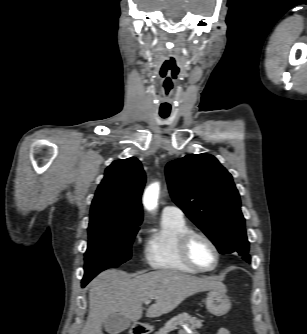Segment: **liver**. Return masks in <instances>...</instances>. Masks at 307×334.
<instances>
[{
  "mask_svg": "<svg viewBox=\"0 0 307 334\" xmlns=\"http://www.w3.org/2000/svg\"><path fill=\"white\" fill-rule=\"evenodd\" d=\"M224 285L213 277H196L176 271H153L129 275L110 269L90 283L89 314L81 334H102V324L114 313L132 322L143 314L142 303L154 299L147 317H159L174 310L190 295L220 289Z\"/></svg>",
  "mask_w": 307,
  "mask_h": 334,
  "instance_id": "obj_1",
  "label": "liver"
}]
</instances>
